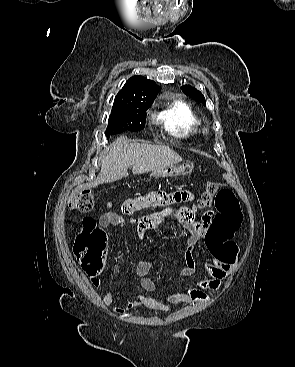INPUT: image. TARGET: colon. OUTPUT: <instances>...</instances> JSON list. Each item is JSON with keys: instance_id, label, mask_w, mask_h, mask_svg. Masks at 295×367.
I'll list each match as a JSON object with an SVG mask.
<instances>
[{"instance_id": "colon-1", "label": "colon", "mask_w": 295, "mask_h": 367, "mask_svg": "<svg viewBox=\"0 0 295 367\" xmlns=\"http://www.w3.org/2000/svg\"><path fill=\"white\" fill-rule=\"evenodd\" d=\"M165 201V198H161L159 204H164ZM212 201H214L217 214L208 229L206 244L224 261L234 262L238 247L233 237L242 222L238 200L233 191L225 188L221 183L210 182L201 195L198 206L206 207ZM72 207L80 213L91 211L94 207L93 193H81ZM106 248L105 232L97 226L94 219L84 218L82 228L73 241V252L88 275L96 276L102 270Z\"/></svg>"}]
</instances>
